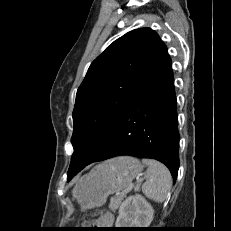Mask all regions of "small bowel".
Returning a JSON list of instances; mask_svg holds the SVG:
<instances>
[{
  "label": "small bowel",
  "mask_w": 231,
  "mask_h": 231,
  "mask_svg": "<svg viewBox=\"0 0 231 231\" xmlns=\"http://www.w3.org/2000/svg\"><path fill=\"white\" fill-rule=\"evenodd\" d=\"M113 216L111 214H107L102 221L101 227L102 231H107L110 227L113 226Z\"/></svg>",
  "instance_id": "obj_1"
}]
</instances>
